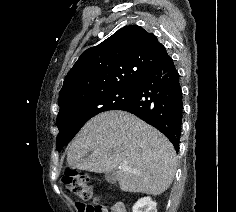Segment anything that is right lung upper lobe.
<instances>
[{
	"label": "right lung upper lobe",
	"instance_id": "obj_1",
	"mask_svg": "<svg viewBox=\"0 0 236 212\" xmlns=\"http://www.w3.org/2000/svg\"><path fill=\"white\" fill-rule=\"evenodd\" d=\"M166 53L154 34L137 25L125 26L82 53L64 79L58 105L138 85Z\"/></svg>",
	"mask_w": 236,
	"mask_h": 212
}]
</instances>
